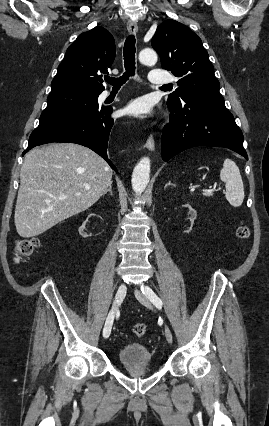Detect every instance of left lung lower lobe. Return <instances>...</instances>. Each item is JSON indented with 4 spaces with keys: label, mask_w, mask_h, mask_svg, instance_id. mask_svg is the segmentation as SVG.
<instances>
[{
    "label": "left lung lower lobe",
    "mask_w": 269,
    "mask_h": 426,
    "mask_svg": "<svg viewBox=\"0 0 269 426\" xmlns=\"http://www.w3.org/2000/svg\"><path fill=\"white\" fill-rule=\"evenodd\" d=\"M167 105L171 113L162 134L164 161L196 146L229 148L248 160L242 132L219 90H198Z\"/></svg>",
    "instance_id": "left-lung-lower-lobe-1"
}]
</instances>
